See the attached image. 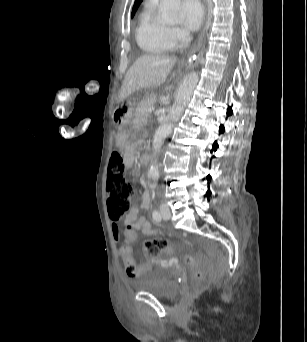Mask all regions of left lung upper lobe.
I'll return each mask as SVG.
<instances>
[{
    "label": "left lung upper lobe",
    "mask_w": 307,
    "mask_h": 342,
    "mask_svg": "<svg viewBox=\"0 0 307 342\" xmlns=\"http://www.w3.org/2000/svg\"><path fill=\"white\" fill-rule=\"evenodd\" d=\"M142 1H143V0H135L134 6H133V10H132V14H131L132 17L134 16V14H135V12H136L138 6L140 5V3H141Z\"/></svg>",
    "instance_id": "1"
}]
</instances>
